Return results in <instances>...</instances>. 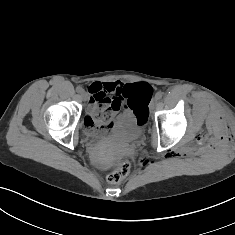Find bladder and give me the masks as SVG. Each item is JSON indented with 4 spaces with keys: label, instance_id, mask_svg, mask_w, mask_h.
<instances>
[{
    "label": "bladder",
    "instance_id": "obj_1",
    "mask_svg": "<svg viewBox=\"0 0 235 235\" xmlns=\"http://www.w3.org/2000/svg\"><path fill=\"white\" fill-rule=\"evenodd\" d=\"M144 127L137 121L136 117L122 115L114 119L111 134L124 141H134L142 137Z\"/></svg>",
    "mask_w": 235,
    "mask_h": 235
}]
</instances>
